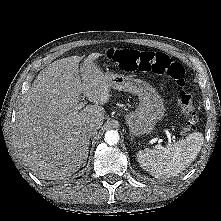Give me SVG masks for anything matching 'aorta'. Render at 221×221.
Masks as SVG:
<instances>
[{"label":"aorta","mask_w":221,"mask_h":221,"mask_svg":"<svg viewBox=\"0 0 221 221\" xmlns=\"http://www.w3.org/2000/svg\"><path fill=\"white\" fill-rule=\"evenodd\" d=\"M105 142L109 145H114L117 144L119 141V134L117 131L115 130H108L105 133V138H104Z\"/></svg>","instance_id":"obj_1"}]
</instances>
